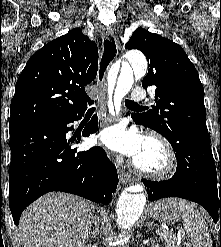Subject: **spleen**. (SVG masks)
Instances as JSON below:
<instances>
[{
	"instance_id": "spleen-1",
	"label": "spleen",
	"mask_w": 221,
	"mask_h": 247,
	"mask_svg": "<svg viewBox=\"0 0 221 247\" xmlns=\"http://www.w3.org/2000/svg\"><path fill=\"white\" fill-rule=\"evenodd\" d=\"M183 211V225L187 238L193 247H212V240L207 232V223L195 204L184 201L180 205ZM169 247H175L176 237L163 230L156 231Z\"/></svg>"
}]
</instances>
